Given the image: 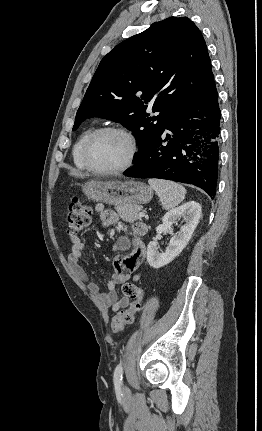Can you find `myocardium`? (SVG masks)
Masks as SVG:
<instances>
[{
    "instance_id": "1",
    "label": "myocardium",
    "mask_w": 262,
    "mask_h": 431,
    "mask_svg": "<svg viewBox=\"0 0 262 431\" xmlns=\"http://www.w3.org/2000/svg\"><path fill=\"white\" fill-rule=\"evenodd\" d=\"M105 133H119L127 139V141L129 142V145H130V151H129V154H128L126 161L122 165H120L116 168H109V169L100 168V167L95 166L90 160V149H91L93 142L100 135L105 134ZM138 152H139L138 141H137L136 136L133 134V132L131 130H129L128 128H126L124 126H120V125L105 126V127H102V128L95 130L88 137V139L86 140L84 147H83L82 160H83L86 168L95 174L115 175V174L122 173L125 170H127L128 168H130L134 164V162L137 158Z\"/></svg>"
}]
</instances>
